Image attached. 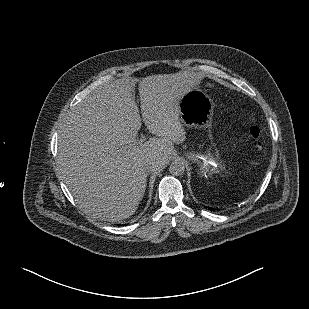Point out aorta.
I'll return each instance as SVG.
<instances>
[{
    "label": "aorta",
    "mask_w": 309,
    "mask_h": 309,
    "mask_svg": "<svg viewBox=\"0 0 309 309\" xmlns=\"http://www.w3.org/2000/svg\"><path fill=\"white\" fill-rule=\"evenodd\" d=\"M169 172L174 176H181L185 172V166L182 161H174L169 166Z\"/></svg>",
    "instance_id": "obj_1"
}]
</instances>
